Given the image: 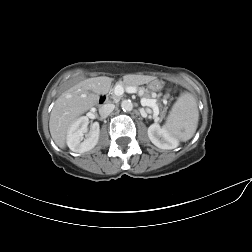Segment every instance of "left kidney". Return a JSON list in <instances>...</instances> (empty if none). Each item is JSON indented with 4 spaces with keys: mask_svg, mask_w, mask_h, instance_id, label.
Masks as SVG:
<instances>
[{
    "mask_svg": "<svg viewBox=\"0 0 252 252\" xmlns=\"http://www.w3.org/2000/svg\"><path fill=\"white\" fill-rule=\"evenodd\" d=\"M148 137L155 146L161 149H174L179 143L165 127H160L158 123L148 128Z\"/></svg>",
    "mask_w": 252,
    "mask_h": 252,
    "instance_id": "obj_1",
    "label": "left kidney"
}]
</instances>
